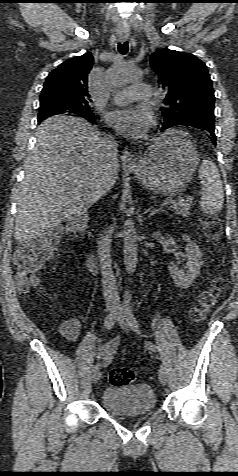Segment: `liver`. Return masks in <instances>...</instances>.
Returning a JSON list of instances; mask_svg holds the SVG:
<instances>
[{"mask_svg": "<svg viewBox=\"0 0 238 476\" xmlns=\"http://www.w3.org/2000/svg\"><path fill=\"white\" fill-rule=\"evenodd\" d=\"M36 137L17 196L14 237L19 243L84 215L102 196L100 188L107 193L118 178V162L107 169L100 132L85 119L50 117Z\"/></svg>", "mask_w": 238, "mask_h": 476, "instance_id": "6515ba94", "label": "liver"}]
</instances>
